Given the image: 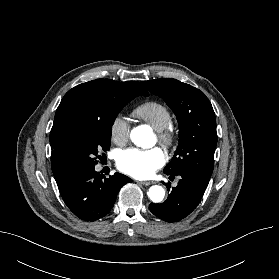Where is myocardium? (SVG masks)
Masks as SVG:
<instances>
[{
  "mask_svg": "<svg viewBox=\"0 0 279 279\" xmlns=\"http://www.w3.org/2000/svg\"><path fill=\"white\" fill-rule=\"evenodd\" d=\"M156 135L159 143L165 148H170L175 143V131L172 125L156 130Z\"/></svg>",
  "mask_w": 279,
  "mask_h": 279,
  "instance_id": "obj_1",
  "label": "myocardium"
}]
</instances>
